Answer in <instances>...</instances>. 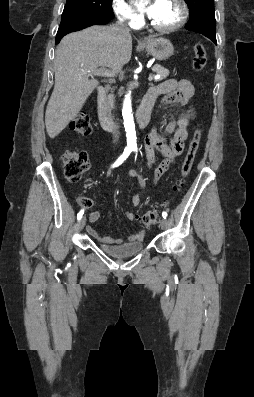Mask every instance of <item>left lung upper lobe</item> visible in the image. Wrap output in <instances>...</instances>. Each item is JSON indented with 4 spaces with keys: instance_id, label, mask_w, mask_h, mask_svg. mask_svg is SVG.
Returning a JSON list of instances; mask_svg holds the SVG:
<instances>
[{
    "instance_id": "1",
    "label": "left lung upper lobe",
    "mask_w": 254,
    "mask_h": 397,
    "mask_svg": "<svg viewBox=\"0 0 254 397\" xmlns=\"http://www.w3.org/2000/svg\"><path fill=\"white\" fill-rule=\"evenodd\" d=\"M190 9L191 22L215 20L214 0H184Z\"/></svg>"
}]
</instances>
